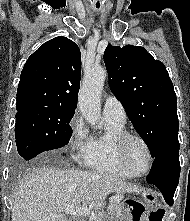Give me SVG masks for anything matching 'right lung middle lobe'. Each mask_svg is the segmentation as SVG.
Wrapping results in <instances>:
<instances>
[{"label": "right lung middle lobe", "mask_w": 190, "mask_h": 221, "mask_svg": "<svg viewBox=\"0 0 190 221\" xmlns=\"http://www.w3.org/2000/svg\"><path fill=\"white\" fill-rule=\"evenodd\" d=\"M74 110L34 107L16 113L15 138L19 155L30 160L38 154L63 147L72 135L69 122Z\"/></svg>", "instance_id": "dd1d6c3e"}]
</instances>
